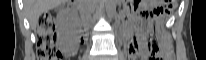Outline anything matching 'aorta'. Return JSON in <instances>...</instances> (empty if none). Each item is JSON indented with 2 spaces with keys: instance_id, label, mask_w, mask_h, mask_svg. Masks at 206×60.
<instances>
[{
  "instance_id": "762f6f07",
  "label": "aorta",
  "mask_w": 206,
  "mask_h": 60,
  "mask_svg": "<svg viewBox=\"0 0 206 60\" xmlns=\"http://www.w3.org/2000/svg\"><path fill=\"white\" fill-rule=\"evenodd\" d=\"M106 2V10L108 13L109 19H112L113 15L116 12V2L117 0H105Z\"/></svg>"
}]
</instances>
